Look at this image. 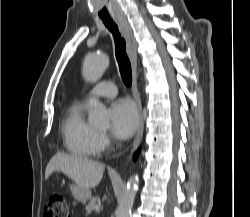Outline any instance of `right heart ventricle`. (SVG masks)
I'll return each mask as SVG.
<instances>
[{"label":"right heart ventricle","mask_w":250,"mask_h":217,"mask_svg":"<svg viewBox=\"0 0 250 217\" xmlns=\"http://www.w3.org/2000/svg\"><path fill=\"white\" fill-rule=\"evenodd\" d=\"M86 104L72 103L61 123V135L66 150L79 157H95L99 151L97 147V130L89 124L85 117Z\"/></svg>","instance_id":"right-heart-ventricle-1"}]
</instances>
